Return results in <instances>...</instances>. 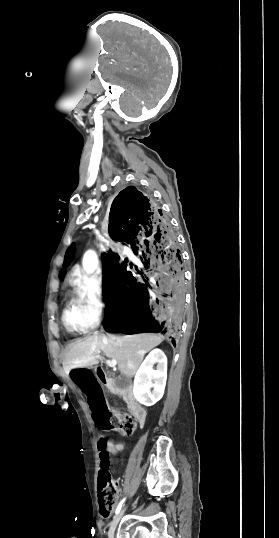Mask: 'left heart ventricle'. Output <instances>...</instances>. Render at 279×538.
<instances>
[{
	"label": "left heart ventricle",
	"mask_w": 279,
	"mask_h": 538,
	"mask_svg": "<svg viewBox=\"0 0 279 538\" xmlns=\"http://www.w3.org/2000/svg\"><path fill=\"white\" fill-rule=\"evenodd\" d=\"M73 208H76V207H73ZM81 219H84V216H82Z\"/></svg>",
	"instance_id": "b2bd125f"
}]
</instances>
